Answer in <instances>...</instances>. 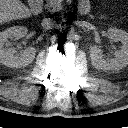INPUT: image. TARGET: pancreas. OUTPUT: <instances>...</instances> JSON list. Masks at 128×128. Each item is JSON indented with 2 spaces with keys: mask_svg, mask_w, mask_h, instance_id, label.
Wrapping results in <instances>:
<instances>
[{
  "mask_svg": "<svg viewBox=\"0 0 128 128\" xmlns=\"http://www.w3.org/2000/svg\"><path fill=\"white\" fill-rule=\"evenodd\" d=\"M61 1L62 0H47L46 6L48 10L52 12L59 11L62 9Z\"/></svg>",
  "mask_w": 128,
  "mask_h": 128,
  "instance_id": "1",
  "label": "pancreas"
}]
</instances>
